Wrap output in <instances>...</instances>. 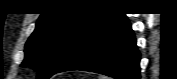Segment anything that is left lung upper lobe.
<instances>
[{
    "label": "left lung upper lobe",
    "mask_w": 177,
    "mask_h": 79,
    "mask_svg": "<svg viewBox=\"0 0 177 79\" xmlns=\"http://www.w3.org/2000/svg\"><path fill=\"white\" fill-rule=\"evenodd\" d=\"M107 15L100 11H60L43 13L25 46L22 66L38 71V79H48L68 58L75 46Z\"/></svg>",
    "instance_id": "obj_1"
}]
</instances>
